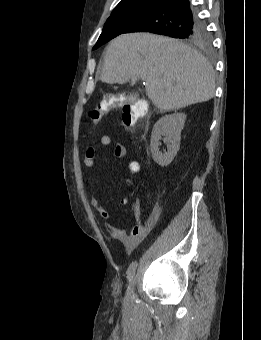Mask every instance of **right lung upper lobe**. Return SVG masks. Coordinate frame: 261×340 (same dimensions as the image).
<instances>
[{"mask_svg":"<svg viewBox=\"0 0 261 340\" xmlns=\"http://www.w3.org/2000/svg\"><path fill=\"white\" fill-rule=\"evenodd\" d=\"M140 1L160 2L161 0H122L118 5H124V4H128V3L140 2Z\"/></svg>","mask_w":261,"mask_h":340,"instance_id":"1","label":"right lung upper lobe"}]
</instances>
